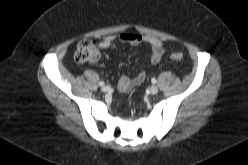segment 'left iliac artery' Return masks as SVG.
Returning <instances> with one entry per match:
<instances>
[{
	"instance_id": "1",
	"label": "left iliac artery",
	"mask_w": 248,
	"mask_h": 165,
	"mask_svg": "<svg viewBox=\"0 0 248 165\" xmlns=\"http://www.w3.org/2000/svg\"><path fill=\"white\" fill-rule=\"evenodd\" d=\"M151 82L154 84L156 83V79L155 78H152Z\"/></svg>"
}]
</instances>
